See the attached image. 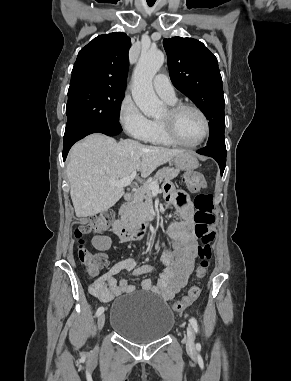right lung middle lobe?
I'll return each mask as SVG.
<instances>
[{
  "label": "right lung middle lobe",
  "instance_id": "1",
  "mask_svg": "<svg viewBox=\"0 0 291 381\" xmlns=\"http://www.w3.org/2000/svg\"><path fill=\"white\" fill-rule=\"evenodd\" d=\"M125 88L100 85H70L66 106L64 140H75L89 130L119 125V112Z\"/></svg>",
  "mask_w": 291,
  "mask_h": 381
}]
</instances>
